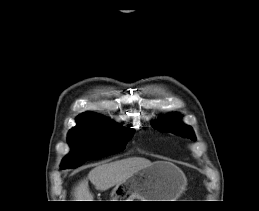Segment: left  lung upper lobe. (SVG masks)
Wrapping results in <instances>:
<instances>
[{
    "label": "left lung upper lobe",
    "mask_w": 259,
    "mask_h": 211,
    "mask_svg": "<svg viewBox=\"0 0 259 211\" xmlns=\"http://www.w3.org/2000/svg\"><path fill=\"white\" fill-rule=\"evenodd\" d=\"M179 118H180L179 115H174L169 119H164L162 121L155 122L152 125L155 129H158L160 131H165V132L171 131V132L179 133L187 138L195 140V135L192 128L182 123L179 120Z\"/></svg>",
    "instance_id": "obj_1"
}]
</instances>
